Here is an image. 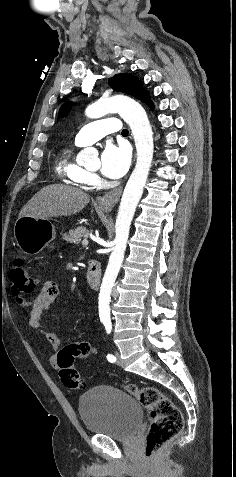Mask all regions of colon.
I'll return each instance as SVG.
<instances>
[{
	"label": "colon",
	"mask_w": 236,
	"mask_h": 477,
	"mask_svg": "<svg viewBox=\"0 0 236 477\" xmlns=\"http://www.w3.org/2000/svg\"><path fill=\"white\" fill-rule=\"evenodd\" d=\"M10 278L12 295L23 304L24 298L36 290L38 280L28 272L22 262H18L11 269ZM91 347L92 345L88 343L77 342L59 351L57 365L60 379L65 386L71 389L84 387L79 372L73 368V362L77 358L90 356ZM126 389L149 414L151 426L145 438V454L147 458L153 459L158 451L182 430V413L173 401L156 387H137L131 384Z\"/></svg>",
	"instance_id": "obj_1"
}]
</instances>
